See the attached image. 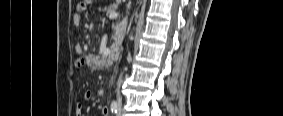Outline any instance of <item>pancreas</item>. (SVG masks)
<instances>
[{
    "instance_id": "cf45deb5",
    "label": "pancreas",
    "mask_w": 283,
    "mask_h": 116,
    "mask_svg": "<svg viewBox=\"0 0 283 116\" xmlns=\"http://www.w3.org/2000/svg\"><path fill=\"white\" fill-rule=\"evenodd\" d=\"M117 8H118V5H117V4L110 5V6L108 7V10H107V15H109V14L115 12Z\"/></svg>"
}]
</instances>
